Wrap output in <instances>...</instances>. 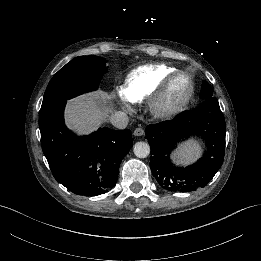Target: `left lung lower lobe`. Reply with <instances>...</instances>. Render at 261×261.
Wrapping results in <instances>:
<instances>
[{
	"mask_svg": "<svg viewBox=\"0 0 261 261\" xmlns=\"http://www.w3.org/2000/svg\"><path fill=\"white\" fill-rule=\"evenodd\" d=\"M153 148L150 168L158 185L171 192H190L205 187L223 164L226 125L215 97L203 99L195 109L185 111L172 120L148 125L145 130ZM197 134L203 137L207 150L196 163L179 167L170 154L183 138Z\"/></svg>",
	"mask_w": 261,
	"mask_h": 261,
	"instance_id": "0a47b994",
	"label": "left lung lower lobe"
}]
</instances>
